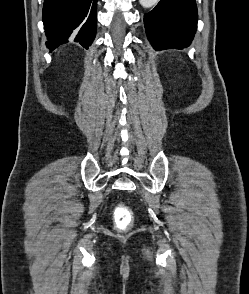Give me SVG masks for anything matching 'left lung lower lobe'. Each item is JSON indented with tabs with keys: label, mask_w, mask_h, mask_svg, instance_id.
<instances>
[{
	"label": "left lung lower lobe",
	"mask_w": 249,
	"mask_h": 294,
	"mask_svg": "<svg viewBox=\"0 0 249 294\" xmlns=\"http://www.w3.org/2000/svg\"><path fill=\"white\" fill-rule=\"evenodd\" d=\"M147 37L156 50L186 48L197 26L195 0H160L144 15Z\"/></svg>",
	"instance_id": "1"
}]
</instances>
